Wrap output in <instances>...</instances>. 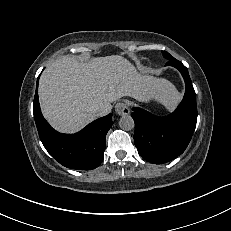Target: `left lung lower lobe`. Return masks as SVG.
Returning a JSON list of instances; mask_svg holds the SVG:
<instances>
[{
  "label": "left lung lower lobe",
  "mask_w": 231,
  "mask_h": 231,
  "mask_svg": "<svg viewBox=\"0 0 231 231\" xmlns=\"http://www.w3.org/2000/svg\"><path fill=\"white\" fill-rule=\"evenodd\" d=\"M167 65L176 67L185 80L186 91L178 108L165 117L137 107L131 113L137 150L145 160L155 164L171 161L184 152L197 121L196 95L187 68L176 59L169 60Z\"/></svg>",
  "instance_id": "1"
}]
</instances>
